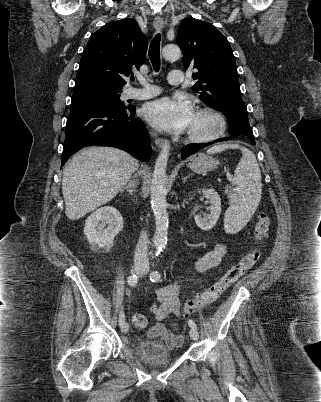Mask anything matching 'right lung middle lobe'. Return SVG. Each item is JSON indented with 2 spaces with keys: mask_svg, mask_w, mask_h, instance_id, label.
I'll use <instances>...</instances> for the list:
<instances>
[{
  "mask_svg": "<svg viewBox=\"0 0 321 402\" xmlns=\"http://www.w3.org/2000/svg\"><path fill=\"white\" fill-rule=\"evenodd\" d=\"M121 90L97 83L78 84L74 87L71 105L92 103L111 108H121L125 106L120 100Z\"/></svg>",
  "mask_w": 321,
  "mask_h": 402,
  "instance_id": "1",
  "label": "right lung middle lobe"
}]
</instances>
